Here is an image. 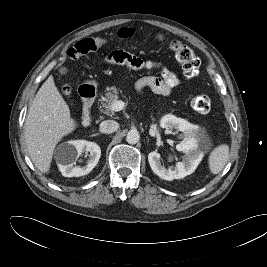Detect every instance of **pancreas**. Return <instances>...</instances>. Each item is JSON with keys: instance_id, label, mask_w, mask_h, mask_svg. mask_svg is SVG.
I'll return each mask as SVG.
<instances>
[{"instance_id": "obj_1", "label": "pancreas", "mask_w": 267, "mask_h": 267, "mask_svg": "<svg viewBox=\"0 0 267 267\" xmlns=\"http://www.w3.org/2000/svg\"><path fill=\"white\" fill-rule=\"evenodd\" d=\"M105 96L101 97L100 111L106 115H113V111L111 109V105L113 102L117 101L119 98V89L115 86L106 88Z\"/></svg>"}]
</instances>
